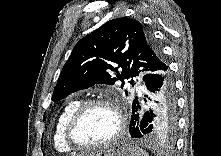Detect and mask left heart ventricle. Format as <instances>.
<instances>
[{
    "instance_id": "left-heart-ventricle-1",
    "label": "left heart ventricle",
    "mask_w": 221,
    "mask_h": 156,
    "mask_svg": "<svg viewBox=\"0 0 221 156\" xmlns=\"http://www.w3.org/2000/svg\"><path fill=\"white\" fill-rule=\"evenodd\" d=\"M117 129L115 113L107 107L90 109L77 124L74 135L78 142L87 145L108 140Z\"/></svg>"
}]
</instances>
